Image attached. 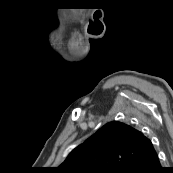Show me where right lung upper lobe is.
<instances>
[{
  "mask_svg": "<svg viewBox=\"0 0 173 173\" xmlns=\"http://www.w3.org/2000/svg\"><path fill=\"white\" fill-rule=\"evenodd\" d=\"M154 151L140 131L113 121L76 147L54 172L123 173L134 161Z\"/></svg>",
  "mask_w": 173,
  "mask_h": 173,
  "instance_id": "1",
  "label": "right lung upper lobe"
}]
</instances>
